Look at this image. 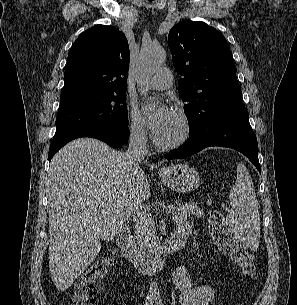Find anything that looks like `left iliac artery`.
Wrapping results in <instances>:
<instances>
[{
  "label": "left iliac artery",
  "instance_id": "left-iliac-artery-1",
  "mask_svg": "<svg viewBox=\"0 0 297 305\" xmlns=\"http://www.w3.org/2000/svg\"><path fill=\"white\" fill-rule=\"evenodd\" d=\"M155 305H162V299L160 298V296L156 297Z\"/></svg>",
  "mask_w": 297,
  "mask_h": 305
}]
</instances>
